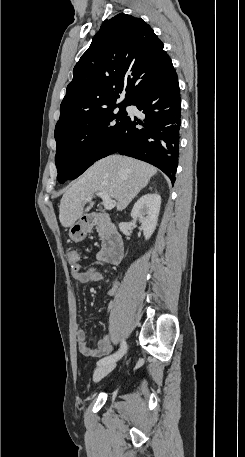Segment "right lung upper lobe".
<instances>
[{"instance_id": "obj_1", "label": "right lung upper lobe", "mask_w": 245, "mask_h": 457, "mask_svg": "<svg viewBox=\"0 0 245 457\" xmlns=\"http://www.w3.org/2000/svg\"><path fill=\"white\" fill-rule=\"evenodd\" d=\"M163 46L141 18L120 13L106 20L73 69L56 128L116 102L122 92L129 101L145 82L174 69Z\"/></svg>"}]
</instances>
